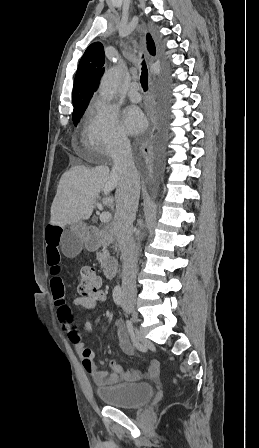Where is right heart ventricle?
Wrapping results in <instances>:
<instances>
[{"mask_svg":"<svg viewBox=\"0 0 259 448\" xmlns=\"http://www.w3.org/2000/svg\"><path fill=\"white\" fill-rule=\"evenodd\" d=\"M92 120H93V114H92V112L90 111V108H88V110H87L86 113H85L84 119H83V122H84V128H85V131H86V132H88L89 127H90V125H91V123H92Z\"/></svg>","mask_w":259,"mask_h":448,"instance_id":"e07e8e85","label":"right heart ventricle"}]
</instances>
